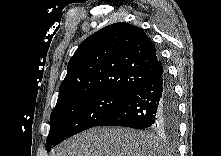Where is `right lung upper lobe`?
I'll return each mask as SVG.
<instances>
[{
	"instance_id": "right-lung-upper-lobe-1",
	"label": "right lung upper lobe",
	"mask_w": 221,
	"mask_h": 156,
	"mask_svg": "<svg viewBox=\"0 0 221 156\" xmlns=\"http://www.w3.org/2000/svg\"><path fill=\"white\" fill-rule=\"evenodd\" d=\"M163 71L153 42L141 28L114 23L80 44L68 63L57 104L98 92L132 95Z\"/></svg>"
}]
</instances>
